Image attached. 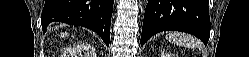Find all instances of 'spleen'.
Masks as SVG:
<instances>
[{
    "label": "spleen",
    "instance_id": "spleen-1",
    "mask_svg": "<svg viewBox=\"0 0 249 57\" xmlns=\"http://www.w3.org/2000/svg\"><path fill=\"white\" fill-rule=\"evenodd\" d=\"M166 39L174 44L181 46H199V43L195 41L190 35L180 32H170L167 34Z\"/></svg>",
    "mask_w": 249,
    "mask_h": 57
}]
</instances>
